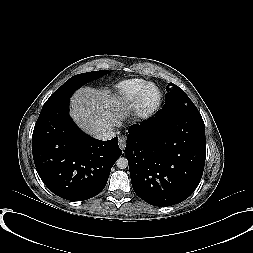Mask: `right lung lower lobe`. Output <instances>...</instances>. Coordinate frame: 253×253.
Segmentation results:
<instances>
[{
    "mask_svg": "<svg viewBox=\"0 0 253 253\" xmlns=\"http://www.w3.org/2000/svg\"><path fill=\"white\" fill-rule=\"evenodd\" d=\"M32 152L47 188L72 201L99 194L122 154L118 137L101 141L83 133L69 116V101L41 111L32 135Z\"/></svg>",
    "mask_w": 253,
    "mask_h": 253,
    "instance_id": "obj_1",
    "label": "right lung lower lobe"
}]
</instances>
